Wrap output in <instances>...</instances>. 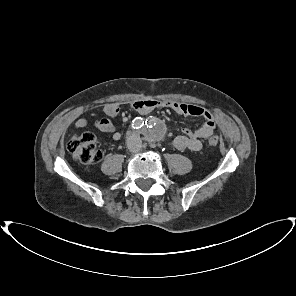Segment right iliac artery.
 <instances>
[{
	"label": "right iliac artery",
	"mask_w": 296,
	"mask_h": 296,
	"mask_svg": "<svg viewBox=\"0 0 296 296\" xmlns=\"http://www.w3.org/2000/svg\"><path fill=\"white\" fill-rule=\"evenodd\" d=\"M132 122V127L134 129H140L144 125V121L142 120V118L137 117Z\"/></svg>",
	"instance_id": "obj_1"
}]
</instances>
